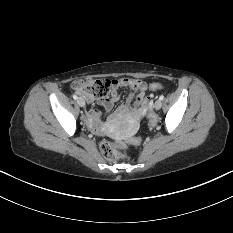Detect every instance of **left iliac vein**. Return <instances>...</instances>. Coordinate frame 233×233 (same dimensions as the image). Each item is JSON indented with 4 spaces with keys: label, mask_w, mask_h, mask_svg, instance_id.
I'll return each mask as SVG.
<instances>
[{
    "label": "left iliac vein",
    "mask_w": 233,
    "mask_h": 233,
    "mask_svg": "<svg viewBox=\"0 0 233 233\" xmlns=\"http://www.w3.org/2000/svg\"><path fill=\"white\" fill-rule=\"evenodd\" d=\"M154 107L156 110H159L162 107V102L160 99L156 100Z\"/></svg>",
    "instance_id": "4c4485c4"
}]
</instances>
